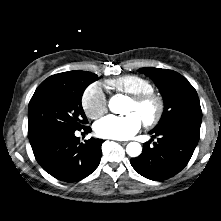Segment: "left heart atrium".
Wrapping results in <instances>:
<instances>
[{"label":"left heart atrium","mask_w":221,"mask_h":221,"mask_svg":"<svg viewBox=\"0 0 221 221\" xmlns=\"http://www.w3.org/2000/svg\"><path fill=\"white\" fill-rule=\"evenodd\" d=\"M142 119L131 112L125 116L107 115L95 123L98 136L107 139L124 140L131 138L141 128Z\"/></svg>","instance_id":"39dd6f15"}]
</instances>
